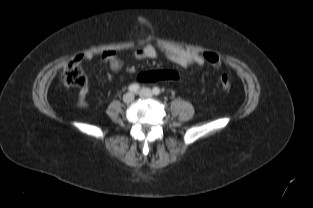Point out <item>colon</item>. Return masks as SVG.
Masks as SVG:
<instances>
[{
    "label": "colon",
    "mask_w": 313,
    "mask_h": 208,
    "mask_svg": "<svg viewBox=\"0 0 313 208\" xmlns=\"http://www.w3.org/2000/svg\"><path fill=\"white\" fill-rule=\"evenodd\" d=\"M206 63L210 64L214 68H219L221 63L218 55L212 52H205L202 54ZM138 79L141 82H177L179 80V75L177 72L172 70H147L141 72L138 75ZM62 81L64 85L69 87H79L85 84V77L81 66L78 61L70 62L65 68L62 76ZM220 85L223 89L228 90L231 87V79L229 75L223 74L220 77Z\"/></svg>",
    "instance_id": "colon-1"
}]
</instances>
